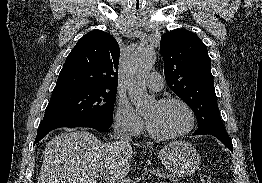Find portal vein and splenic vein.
Here are the masks:
<instances>
[{
	"instance_id": "portal-vein-and-splenic-vein-1",
	"label": "portal vein and splenic vein",
	"mask_w": 262,
	"mask_h": 183,
	"mask_svg": "<svg viewBox=\"0 0 262 183\" xmlns=\"http://www.w3.org/2000/svg\"><path fill=\"white\" fill-rule=\"evenodd\" d=\"M97 178L105 181L106 183H134L133 181L126 180L119 177H111L107 173H101Z\"/></svg>"
}]
</instances>
